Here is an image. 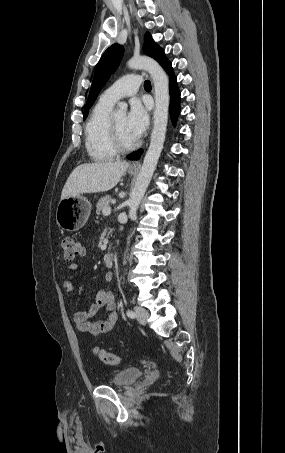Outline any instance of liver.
<instances>
[{
  "instance_id": "1",
  "label": "liver",
  "mask_w": 285,
  "mask_h": 453,
  "mask_svg": "<svg viewBox=\"0 0 285 453\" xmlns=\"http://www.w3.org/2000/svg\"><path fill=\"white\" fill-rule=\"evenodd\" d=\"M128 166L129 163L126 161L81 164L68 177L61 199L83 193L108 191L117 185Z\"/></svg>"
}]
</instances>
